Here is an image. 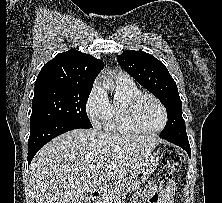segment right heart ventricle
<instances>
[{"label": "right heart ventricle", "instance_id": "1", "mask_svg": "<svg viewBox=\"0 0 222 203\" xmlns=\"http://www.w3.org/2000/svg\"><path fill=\"white\" fill-rule=\"evenodd\" d=\"M116 92L109 101L108 116L105 121V129L116 134H136L139 133L128 120L126 105L135 95L141 93L133 82H121L115 79Z\"/></svg>", "mask_w": 222, "mask_h": 203}]
</instances>
